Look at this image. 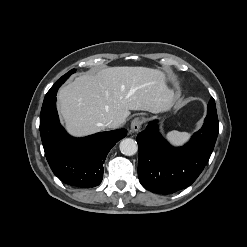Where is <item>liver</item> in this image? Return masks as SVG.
Here are the masks:
<instances>
[{"mask_svg":"<svg viewBox=\"0 0 247 247\" xmlns=\"http://www.w3.org/2000/svg\"><path fill=\"white\" fill-rule=\"evenodd\" d=\"M57 100L68 133L84 137L104 131L111 120L123 124L131 110L164 112L175 96L162 71L122 66L77 77L60 88Z\"/></svg>","mask_w":247,"mask_h":247,"instance_id":"liver-1","label":"liver"}]
</instances>
